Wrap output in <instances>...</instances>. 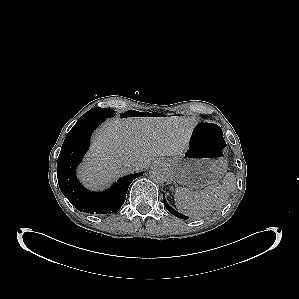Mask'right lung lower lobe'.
<instances>
[{
  "label": "right lung lower lobe",
  "mask_w": 299,
  "mask_h": 299,
  "mask_svg": "<svg viewBox=\"0 0 299 299\" xmlns=\"http://www.w3.org/2000/svg\"><path fill=\"white\" fill-rule=\"evenodd\" d=\"M105 118L78 120L67 134L57 161V177L63 195L79 210L91 214L118 212L124 204L130 183L143 172L120 178L105 192H90L78 182L75 174L77 164L89 147L94 129Z\"/></svg>",
  "instance_id": "1"
}]
</instances>
